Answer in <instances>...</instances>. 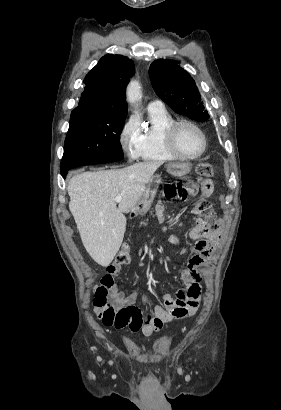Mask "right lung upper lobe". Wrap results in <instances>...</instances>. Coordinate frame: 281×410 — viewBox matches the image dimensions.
Here are the masks:
<instances>
[{"instance_id": "1", "label": "right lung upper lobe", "mask_w": 281, "mask_h": 410, "mask_svg": "<svg viewBox=\"0 0 281 410\" xmlns=\"http://www.w3.org/2000/svg\"><path fill=\"white\" fill-rule=\"evenodd\" d=\"M134 72V63L128 57L105 55L86 75V87L77 108L127 114L125 86Z\"/></svg>"}]
</instances>
